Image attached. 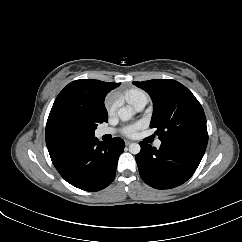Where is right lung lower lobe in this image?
Segmentation results:
<instances>
[{
	"mask_svg": "<svg viewBox=\"0 0 242 242\" xmlns=\"http://www.w3.org/2000/svg\"><path fill=\"white\" fill-rule=\"evenodd\" d=\"M124 146L118 137L106 143L93 137L74 142L50 157L68 183L85 191H99L114 180Z\"/></svg>",
	"mask_w": 242,
	"mask_h": 242,
	"instance_id": "1",
	"label": "right lung lower lobe"
}]
</instances>
